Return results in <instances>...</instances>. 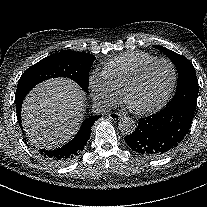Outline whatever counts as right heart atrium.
<instances>
[{
    "mask_svg": "<svg viewBox=\"0 0 207 207\" xmlns=\"http://www.w3.org/2000/svg\"><path fill=\"white\" fill-rule=\"evenodd\" d=\"M88 86L94 101L105 107L112 106L118 99V94L112 89L102 75L92 72L88 78Z\"/></svg>",
    "mask_w": 207,
    "mask_h": 207,
    "instance_id": "obj_1",
    "label": "right heart atrium"
}]
</instances>
